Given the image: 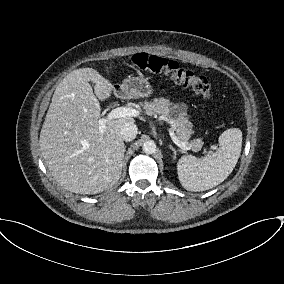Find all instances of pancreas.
<instances>
[{
	"mask_svg": "<svg viewBox=\"0 0 284 284\" xmlns=\"http://www.w3.org/2000/svg\"><path fill=\"white\" fill-rule=\"evenodd\" d=\"M143 109L150 116H160L161 119L171 122L176 129L177 138L191 146L193 151L202 148L203 142L201 139L189 141L193 132L191 129L192 123L187 117L186 105H177L165 98H154L151 101H145Z\"/></svg>",
	"mask_w": 284,
	"mask_h": 284,
	"instance_id": "1",
	"label": "pancreas"
}]
</instances>
